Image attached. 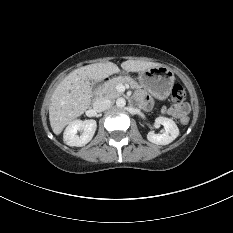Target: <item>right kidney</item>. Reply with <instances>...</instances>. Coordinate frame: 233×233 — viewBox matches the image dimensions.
<instances>
[{
	"label": "right kidney",
	"instance_id": "right-kidney-1",
	"mask_svg": "<svg viewBox=\"0 0 233 233\" xmlns=\"http://www.w3.org/2000/svg\"><path fill=\"white\" fill-rule=\"evenodd\" d=\"M97 128L95 120H74L65 129L63 140L69 146L81 147L86 145L93 138ZM81 131L78 136L77 132Z\"/></svg>",
	"mask_w": 233,
	"mask_h": 233
}]
</instances>
